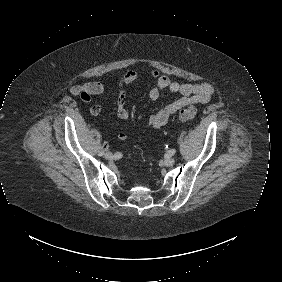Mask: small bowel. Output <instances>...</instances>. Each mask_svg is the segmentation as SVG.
<instances>
[{
	"instance_id": "small-bowel-1",
	"label": "small bowel",
	"mask_w": 282,
	"mask_h": 282,
	"mask_svg": "<svg viewBox=\"0 0 282 282\" xmlns=\"http://www.w3.org/2000/svg\"><path fill=\"white\" fill-rule=\"evenodd\" d=\"M147 77L155 81V84L150 88L148 97L150 102L158 100L162 91H170L181 95L177 100L162 107L157 112L151 114L148 118V125L154 129H160L166 125L169 119L175 114V109L180 104L187 103H206L213 95V87L210 84H187L172 81L165 75H162L158 69L152 68L147 72ZM140 79V74L136 71H128L124 74H116L112 78V84L117 88L116 111L117 116L125 120L129 117V111L126 108V93L123 87L136 82ZM105 90V85L100 82L87 83L85 85H75L71 87L70 93L74 96H87L90 99ZM102 106L94 105L90 109L92 116H97L101 113ZM144 116L143 112L139 113V119ZM126 132L121 131L118 134L119 140H125Z\"/></svg>"
}]
</instances>
